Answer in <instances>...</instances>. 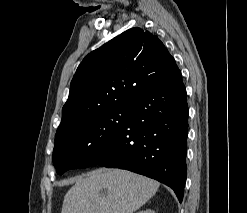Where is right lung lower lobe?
I'll return each instance as SVG.
<instances>
[{
	"instance_id": "1",
	"label": "right lung lower lobe",
	"mask_w": 247,
	"mask_h": 213,
	"mask_svg": "<svg viewBox=\"0 0 247 213\" xmlns=\"http://www.w3.org/2000/svg\"><path fill=\"white\" fill-rule=\"evenodd\" d=\"M132 112L96 164L156 179L182 202L187 177L188 105L181 72L132 97Z\"/></svg>"
}]
</instances>
